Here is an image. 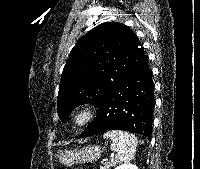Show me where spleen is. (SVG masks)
<instances>
[{"label":"spleen","mask_w":200,"mask_h":169,"mask_svg":"<svg viewBox=\"0 0 200 169\" xmlns=\"http://www.w3.org/2000/svg\"><path fill=\"white\" fill-rule=\"evenodd\" d=\"M103 137L112 140L111 150L117 153V160L129 162L134 158L138 140L133 134L122 130H112L106 132Z\"/></svg>","instance_id":"obj_1"}]
</instances>
